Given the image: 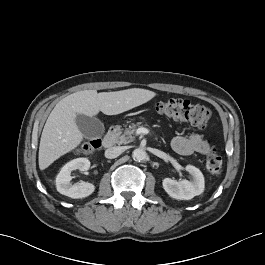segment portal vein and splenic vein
I'll return each instance as SVG.
<instances>
[{
    "label": "portal vein and splenic vein",
    "mask_w": 265,
    "mask_h": 265,
    "mask_svg": "<svg viewBox=\"0 0 265 265\" xmlns=\"http://www.w3.org/2000/svg\"><path fill=\"white\" fill-rule=\"evenodd\" d=\"M138 132L139 133H143V134H148L149 133L148 130H146V129H139Z\"/></svg>",
    "instance_id": "portal-vein-and-splenic-vein-1"
}]
</instances>
